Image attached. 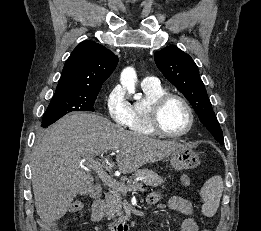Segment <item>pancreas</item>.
Returning <instances> with one entry per match:
<instances>
[{
	"instance_id": "cf45deb5",
	"label": "pancreas",
	"mask_w": 261,
	"mask_h": 231,
	"mask_svg": "<svg viewBox=\"0 0 261 231\" xmlns=\"http://www.w3.org/2000/svg\"><path fill=\"white\" fill-rule=\"evenodd\" d=\"M137 177H145L144 184L147 186L157 187L160 186L164 180L161 176L155 173L151 169L143 168L138 169L129 179L123 178L120 184L124 187L130 188L134 186L132 180ZM126 182V183H125ZM126 192H122L116 189H111L105 197V209L109 220L114 222L126 221V216L122 210V195Z\"/></svg>"
}]
</instances>
